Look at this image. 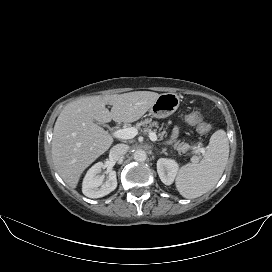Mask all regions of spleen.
I'll return each instance as SVG.
<instances>
[{"instance_id":"1","label":"spleen","mask_w":272,"mask_h":272,"mask_svg":"<svg viewBox=\"0 0 272 272\" xmlns=\"http://www.w3.org/2000/svg\"><path fill=\"white\" fill-rule=\"evenodd\" d=\"M229 157V141L222 129L214 132L200 163L181 167L176 188L184 198H196L212 189L221 178Z\"/></svg>"}]
</instances>
